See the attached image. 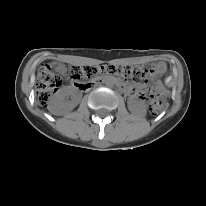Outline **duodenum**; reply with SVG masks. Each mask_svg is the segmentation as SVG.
<instances>
[{
  "label": "duodenum",
  "mask_w": 206,
  "mask_h": 206,
  "mask_svg": "<svg viewBox=\"0 0 206 206\" xmlns=\"http://www.w3.org/2000/svg\"><path fill=\"white\" fill-rule=\"evenodd\" d=\"M106 78L105 77H100L98 80H96L95 82H94V84L95 85H98V84H105L106 83ZM116 83H117V85H119V86H122V82L120 81V80H116ZM92 85L91 84H88L87 86H86V88H90Z\"/></svg>",
  "instance_id": "410a0bca"
}]
</instances>
